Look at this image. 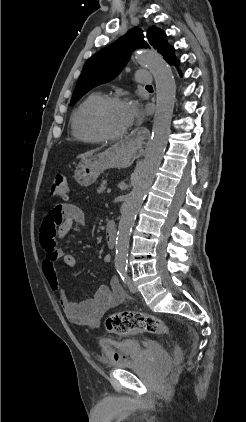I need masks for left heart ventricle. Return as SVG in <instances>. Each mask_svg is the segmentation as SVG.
Instances as JSON below:
<instances>
[{"label":"left heart ventricle","instance_id":"b2bd125f","mask_svg":"<svg viewBox=\"0 0 246 422\" xmlns=\"http://www.w3.org/2000/svg\"><path fill=\"white\" fill-rule=\"evenodd\" d=\"M105 128L112 133H119L129 127L124 104H112L102 113Z\"/></svg>","mask_w":246,"mask_h":422}]
</instances>
